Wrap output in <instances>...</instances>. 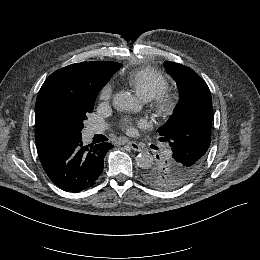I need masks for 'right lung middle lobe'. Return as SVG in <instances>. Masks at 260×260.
<instances>
[{
    "label": "right lung middle lobe",
    "mask_w": 260,
    "mask_h": 260,
    "mask_svg": "<svg viewBox=\"0 0 260 260\" xmlns=\"http://www.w3.org/2000/svg\"><path fill=\"white\" fill-rule=\"evenodd\" d=\"M103 85H88L68 96L55 108V123L59 129L70 131L74 137H81L83 121L93 111L97 94Z\"/></svg>",
    "instance_id": "right-lung-middle-lobe-1"
}]
</instances>
